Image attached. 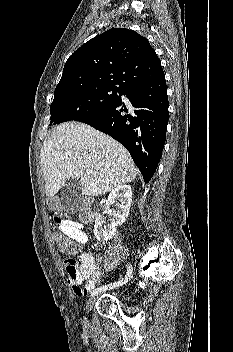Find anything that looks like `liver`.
<instances>
[{
  "instance_id": "liver-1",
  "label": "liver",
  "mask_w": 233,
  "mask_h": 352,
  "mask_svg": "<svg viewBox=\"0 0 233 352\" xmlns=\"http://www.w3.org/2000/svg\"><path fill=\"white\" fill-rule=\"evenodd\" d=\"M45 193L53 198L69 179L81 182L87 196L103 195L131 182L138 170L127 149L84 123L58 125L40 151ZM91 169L90 175L85 173Z\"/></svg>"
}]
</instances>
